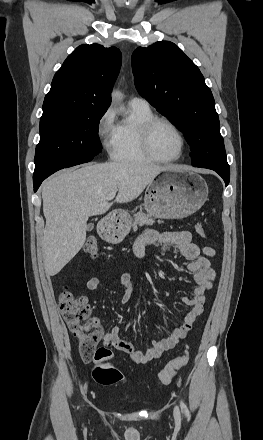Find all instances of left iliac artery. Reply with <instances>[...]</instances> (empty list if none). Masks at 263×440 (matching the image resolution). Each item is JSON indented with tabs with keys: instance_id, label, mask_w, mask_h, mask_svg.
Segmentation results:
<instances>
[{
	"instance_id": "1",
	"label": "left iliac artery",
	"mask_w": 263,
	"mask_h": 440,
	"mask_svg": "<svg viewBox=\"0 0 263 440\" xmlns=\"http://www.w3.org/2000/svg\"><path fill=\"white\" fill-rule=\"evenodd\" d=\"M181 409L184 411V412H187L188 411V409H187V406L185 405V403L181 400Z\"/></svg>"
}]
</instances>
